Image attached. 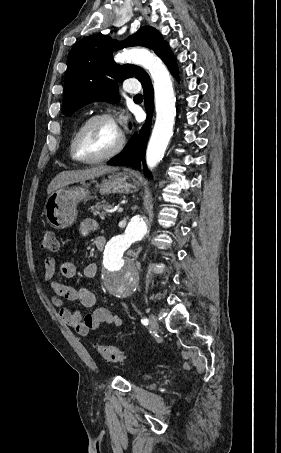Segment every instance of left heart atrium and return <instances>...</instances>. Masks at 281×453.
Returning a JSON list of instances; mask_svg holds the SVG:
<instances>
[{"label":"left heart atrium","instance_id":"obj_1","mask_svg":"<svg viewBox=\"0 0 281 453\" xmlns=\"http://www.w3.org/2000/svg\"><path fill=\"white\" fill-rule=\"evenodd\" d=\"M126 122V115L124 112H121L118 116L116 124L120 127L122 124Z\"/></svg>","mask_w":281,"mask_h":453}]
</instances>
